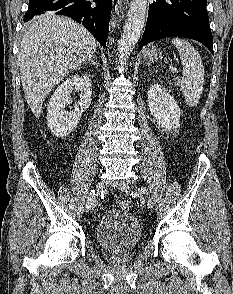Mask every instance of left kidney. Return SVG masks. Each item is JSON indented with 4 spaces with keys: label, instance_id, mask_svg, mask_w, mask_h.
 <instances>
[{
    "label": "left kidney",
    "instance_id": "obj_1",
    "mask_svg": "<svg viewBox=\"0 0 233 294\" xmlns=\"http://www.w3.org/2000/svg\"><path fill=\"white\" fill-rule=\"evenodd\" d=\"M148 105L151 114L159 126L166 130L180 126L181 111L175 99L158 83L148 90Z\"/></svg>",
    "mask_w": 233,
    "mask_h": 294
}]
</instances>
